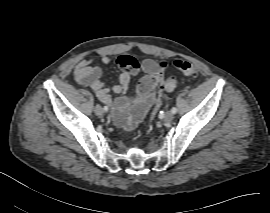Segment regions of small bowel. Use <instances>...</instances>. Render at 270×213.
Instances as JSON below:
<instances>
[{"instance_id": "obj_1", "label": "small bowel", "mask_w": 270, "mask_h": 213, "mask_svg": "<svg viewBox=\"0 0 270 213\" xmlns=\"http://www.w3.org/2000/svg\"><path fill=\"white\" fill-rule=\"evenodd\" d=\"M99 61L102 65L107 66L111 63V58L108 54L103 53L100 55ZM117 62L122 74L119 82L112 88L116 97L110 94V88L101 81L102 68L93 66L92 61H80L74 69V76L78 83L93 89L99 100L113 109V118L120 128L130 129L161 97L158 93V86L162 81V71L166 68L167 63L159 64L152 59L143 60L140 68L145 75L137 85L135 92L125 96L131 77L138 73L139 67L134 59L125 55L120 56ZM124 106L132 108L131 118H127L120 112Z\"/></svg>"}]
</instances>
